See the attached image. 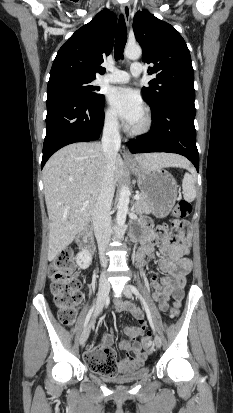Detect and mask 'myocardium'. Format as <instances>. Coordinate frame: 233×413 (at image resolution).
Instances as JSON below:
<instances>
[{"instance_id":"myocardium-1","label":"myocardium","mask_w":233,"mask_h":413,"mask_svg":"<svg viewBox=\"0 0 233 413\" xmlns=\"http://www.w3.org/2000/svg\"><path fill=\"white\" fill-rule=\"evenodd\" d=\"M153 120L151 113L146 110L142 116V121L137 126H132L129 132L133 136H143L150 132L152 128Z\"/></svg>"}]
</instances>
